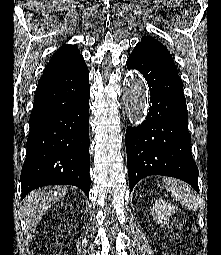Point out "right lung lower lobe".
I'll return each instance as SVG.
<instances>
[{"label":"right lung lower lobe","instance_id":"right-lung-lower-lobe-1","mask_svg":"<svg viewBox=\"0 0 221 255\" xmlns=\"http://www.w3.org/2000/svg\"><path fill=\"white\" fill-rule=\"evenodd\" d=\"M89 98L82 56L40 78L20 177L21 199L45 185H74L89 197Z\"/></svg>","mask_w":221,"mask_h":255}]
</instances>
